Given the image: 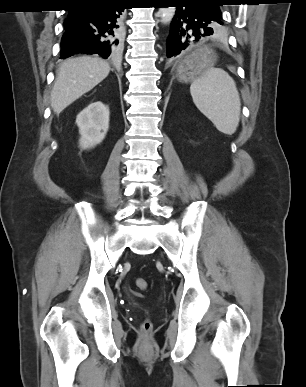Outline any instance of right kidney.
Segmentation results:
<instances>
[{"mask_svg": "<svg viewBox=\"0 0 306 387\" xmlns=\"http://www.w3.org/2000/svg\"><path fill=\"white\" fill-rule=\"evenodd\" d=\"M82 149H88L101 143L109 128V107L97 101L83 109L76 118Z\"/></svg>", "mask_w": 306, "mask_h": 387, "instance_id": "ca27d5eb", "label": "right kidney"}]
</instances>
